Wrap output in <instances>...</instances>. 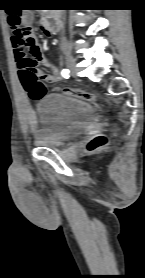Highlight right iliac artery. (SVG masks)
<instances>
[{
    "label": "right iliac artery",
    "instance_id": "obj_1",
    "mask_svg": "<svg viewBox=\"0 0 145 278\" xmlns=\"http://www.w3.org/2000/svg\"><path fill=\"white\" fill-rule=\"evenodd\" d=\"M69 74H70V71L68 69H63L61 71V75L64 77V78H69Z\"/></svg>",
    "mask_w": 145,
    "mask_h": 278
}]
</instances>
